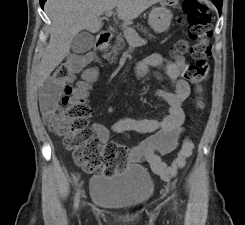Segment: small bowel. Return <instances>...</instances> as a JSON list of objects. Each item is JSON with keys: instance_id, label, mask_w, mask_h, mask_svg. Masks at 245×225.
<instances>
[{"instance_id": "obj_1", "label": "small bowel", "mask_w": 245, "mask_h": 225, "mask_svg": "<svg viewBox=\"0 0 245 225\" xmlns=\"http://www.w3.org/2000/svg\"><path fill=\"white\" fill-rule=\"evenodd\" d=\"M162 64H166L165 74L172 85V90L159 89L156 92L157 97L168 106L167 114L162 119L124 117L115 121L110 129L102 123H93L91 126L98 141L102 144L109 140L111 131L148 135L129 148L128 158L131 162L149 165L153 171L154 161L161 160L162 155L174 151L178 139L184 134L186 125L184 102L190 94V84L186 78L188 63L182 56H178L173 61H166L160 53L150 54L135 65L134 77L142 79L150 67H158ZM91 75L93 78L90 81L81 83L85 89L92 87V82L96 77L94 69L91 70ZM39 99L44 121L53 126L54 118L51 110L54 99L47 95H41Z\"/></svg>"}]
</instances>
